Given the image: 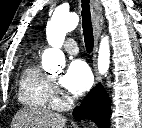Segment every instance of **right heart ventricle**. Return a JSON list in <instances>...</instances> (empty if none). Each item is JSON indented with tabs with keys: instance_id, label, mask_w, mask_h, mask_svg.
Listing matches in <instances>:
<instances>
[{
	"instance_id": "right-heart-ventricle-1",
	"label": "right heart ventricle",
	"mask_w": 142,
	"mask_h": 128,
	"mask_svg": "<svg viewBox=\"0 0 142 128\" xmlns=\"http://www.w3.org/2000/svg\"><path fill=\"white\" fill-rule=\"evenodd\" d=\"M18 99L29 107H49L52 104L50 78L34 63H29L20 75Z\"/></svg>"
}]
</instances>
